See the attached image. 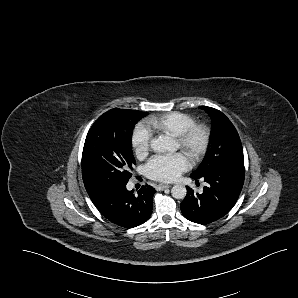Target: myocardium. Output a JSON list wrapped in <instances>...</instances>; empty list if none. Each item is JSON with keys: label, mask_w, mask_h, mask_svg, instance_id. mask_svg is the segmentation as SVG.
<instances>
[{"label": "myocardium", "mask_w": 298, "mask_h": 298, "mask_svg": "<svg viewBox=\"0 0 298 298\" xmlns=\"http://www.w3.org/2000/svg\"><path fill=\"white\" fill-rule=\"evenodd\" d=\"M192 138L195 140V145L191 153L186 157V159L191 163L199 157L207 142V132L202 125L191 124L177 129L170 133L166 137V140L175 142L178 147H181L185 142Z\"/></svg>", "instance_id": "1"}]
</instances>
